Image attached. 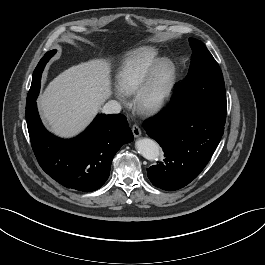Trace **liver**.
<instances>
[{"label": "liver", "instance_id": "1", "mask_svg": "<svg viewBox=\"0 0 265 265\" xmlns=\"http://www.w3.org/2000/svg\"><path fill=\"white\" fill-rule=\"evenodd\" d=\"M111 95L110 63L94 59L60 73L40 95L38 104L50 130L69 138L93 120Z\"/></svg>", "mask_w": 265, "mask_h": 265}]
</instances>
